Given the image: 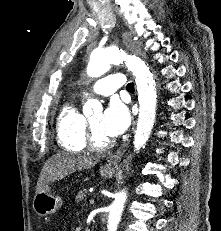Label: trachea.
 <instances>
[{"label":"trachea","mask_w":221,"mask_h":231,"mask_svg":"<svg viewBox=\"0 0 221 231\" xmlns=\"http://www.w3.org/2000/svg\"><path fill=\"white\" fill-rule=\"evenodd\" d=\"M126 89H127L128 91H133V90H134V83H128Z\"/></svg>","instance_id":"trachea-1"}]
</instances>
